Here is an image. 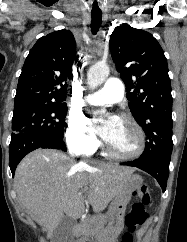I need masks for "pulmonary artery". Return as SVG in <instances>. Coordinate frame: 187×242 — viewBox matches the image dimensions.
I'll return each mask as SVG.
<instances>
[{
  "instance_id": "pulmonary-artery-1",
  "label": "pulmonary artery",
  "mask_w": 187,
  "mask_h": 242,
  "mask_svg": "<svg viewBox=\"0 0 187 242\" xmlns=\"http://www.w3.org/2000/svg\"><path fill=\"white\" fill-rule=\"evenodd\" d=\"M124 88L117 78H109L104 86L86 96V101L93 105H107L119 102L123 98Z\"/></svg>"
}]
</instances>
